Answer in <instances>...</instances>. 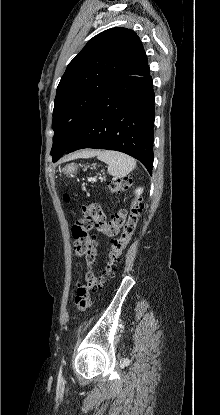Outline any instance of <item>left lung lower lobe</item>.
I'll return each instance as SVG.
<instances>
[{"mask_svg": "<svg viewBox=\"0 0 220 415\" xmlns=\"http://www.w3.org/2000/svg\"><path fill=\"white\" fill-rule=\"evenodd\" d=\"M154 91L149 65L116 79L94 106L66 154L83 148L126 153L153 167ZM64 153L53 157L56 162Z\"/></svg>", "mask_w": 220, "mask_h": 415, "instance_id": "left-lung-lower-lobe-1", "label": "left lung lower lobe"}]
</instances>
